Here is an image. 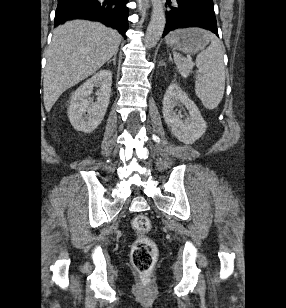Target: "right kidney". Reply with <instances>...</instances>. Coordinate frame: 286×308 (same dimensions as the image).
I'll list each match as a JSON object with an SVG mask.
<instances>
[{
  "label": "right kidney",
  "instance_id": "right-kidney-1",
  "mask_svg": "<svg viewBox=\"0 0 286 308\" xmlns=\"http://www.w3.org/2000/svg\"><path fill=\"white\" fill-rule=\"evenodd\" d=\"M99 87L97 101L90 104L87 97ZM112 72L101 70L77 88L69 101L68 117L72 126L81 132L91 133L102 122L109 105Z\"/></svg>",
  "mask_w": 286,
  "mask_h": 308
}]
</instances>
